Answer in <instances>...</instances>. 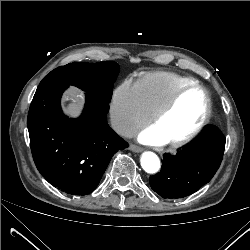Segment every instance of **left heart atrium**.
<instances>
[{"instance_id":"39dd6f15","label":"left heart atrium","mask_w":250,"mask_h":250,"mask_svg":"<svg viewBox=\"0 0 250 250\" xmlns=\"http://www.w3.org/2000/svg\"><path fill=\"white\" fill-rule=\"evenodd\" d=\"M138 138L141 142L149 145H159L166 142L152 128L142 131Z\"/></svg>"}]
</instances>
